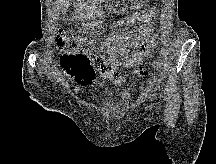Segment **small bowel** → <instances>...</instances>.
Returning a JSON list of instances; mask_svg holds the SVG:
<instances>
[{
    "label": "small bowel",
    "mask_w": 216,
    "mask_h": 164,
    "mask_svg": "<svg viewBox=\"0 0 216 164\" xmlns=\"http://www.w3.org/2000/svg\"><path fill=\"white\" fill-rule=\"evenodd\" d=\"M157 7H150L141 12L134 13L126 20L115 23L116 27L127 25L133 28L139 25L137 31H128L125 34L111 32L102 41L99 51L104 56H99L91 47L87 52L96 58H100L105 65L102 78L115 84L123 81L118 73V68H133L140 66L144 60L151 56L156 48V36L154 33V21Z\"/></svg>",
    "instance_id": "c3829d8e"
}]
</instances>
